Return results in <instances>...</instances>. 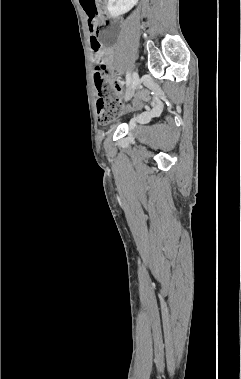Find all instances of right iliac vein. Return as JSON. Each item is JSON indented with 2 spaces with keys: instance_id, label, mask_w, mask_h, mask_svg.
Wrapping results in <instances>:
<instances>
[{
  "instance_id": "obj_1",
  "label": "right iliac vein",
  "mask_w": 241,
  "mask_h": 379,
  "mask_svg": "<svg viewBox=\"0 0 241 379\" xmlns=\"http://www.w3.org/2000/svg\"><path fill=\"white\" fill-rule=\"evenodd\" d=\"M138 84H139V76L136 72H134L132 75V79H131V83L129 85L128 91L126 93V100H129L133 96ZM157 110H158V107H155L151 113H155Z\"/></svg>"
}]
</instances>
